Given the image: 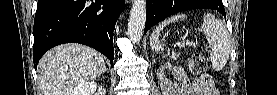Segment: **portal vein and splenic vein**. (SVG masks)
I'll use <instances>...</instances> for the list:
<instances>
[{"label": "portal vein and splenic vein", "instance_id": "1", "mask_svg": "<svg viewBox=\"0 0 277 95\" xmlns=\"http://www.w3.org/2000/svg\"><path fill=\"white\" fill-rule=\"evenodd\" d=\"M177 46L180 48H184L185 47V42H178Z\"/></svg>", "mask_w": 277, "mask_h": 95}]
</instances>
